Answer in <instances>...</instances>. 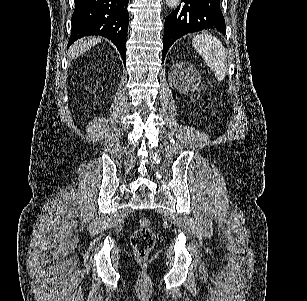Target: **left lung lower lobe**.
<instances>
[{"mask_svg":"<svg viewBox=\"0 0 307 301\" xmlns=\"http://www.w3.org/2000/svg\"><path fill=\"white\" fill-rule=\"evenodd\" d=\"M181 3L165 20L163 62L170 46L185 34L203 29L226 33L220 0H181Z\"/></svg>","mask_w":307,"mask_h":301,"instance_id":"obj_1","label":"left lung lower lobe"}]
</instances>
